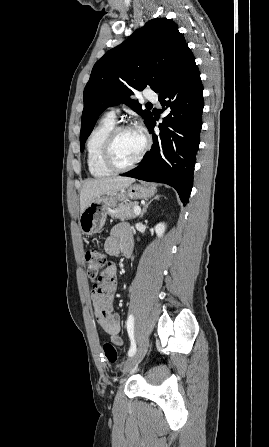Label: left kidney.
<instances>
[{
    "mask_svg": "<svg viewBox=\"0 0 269 447\" xmlns=\"http://www.w3.org/2000/svg\"><path fill=\"white\" fill-rule=\"evenodd\" d=\"M165 229H166V225L165 224H157V225H155V231H156L158 237H162Z\"/></svg>",
    "mask_w": 269,
    "mask_h": 447,
    "instance_id": "1",
    "label": "left kidney"
}]
</instances>
